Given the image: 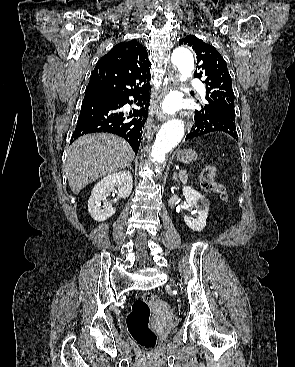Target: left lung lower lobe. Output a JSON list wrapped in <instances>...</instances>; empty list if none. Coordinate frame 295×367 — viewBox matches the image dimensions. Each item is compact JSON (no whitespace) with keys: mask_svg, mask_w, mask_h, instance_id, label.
Wrapping results in <instances>:
<instances>
[{"mask_svg":"<svg viewBox=\"0 0 295 367\" xmlns=\"http://www.w3.org/2000/svg\"><path fill=\"white\" fill-rule=\"evenodd\" d=\"M195 126L186 139L196 138L210 132H224L238 141L235 126V111L225 107H204L195 112Z\"/></svg>","mask_w":295,"mask_h":367,"instance_id":"1","label":"left lung lower lobe"}]
</instances>
